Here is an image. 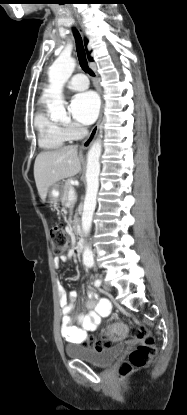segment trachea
I'll return each mask as SVG.
<instances>
[{
    "instance_id": "3493384b",
    "label": "trachea",
    "mask_w": 187,
    "mask_h": 415,
    "mask_svg": "<svg viewBox=\"0 0 187 415\" xmlns=\"http://www.w3.org/2000/svg\"><path fill=\"white\" fill-rule=\"evenodd\" d=\"M74 37L76 41V50L78 55V60L81 68L91 76H95L94 72L89 68L86 53L84 50L82 38L77 30H74Z\"/></svg>"
}]
</instances>
